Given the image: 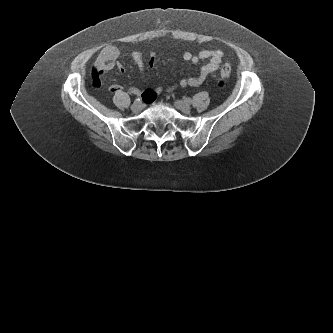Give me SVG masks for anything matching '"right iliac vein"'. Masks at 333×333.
Masks as SVG:
<instances>
[{
	"instance_id": "63e3f726",
	"label": "right iliac vein",
	"mask_w": 333,
	"mask_h": 333,
	"mask_svg": "<svg viewBox=\"0 0 333 333\" xmlns=\"http://www.w3.org/2000/svg\"><path fill=\"white\" fill-rule=\"evenodd\" d=\"M143 109V105L141 102H134L133 105L131 106V110L134 113H138Z\"/></svg>"
}]
</instances>
